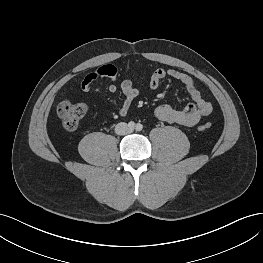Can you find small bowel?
<instances>
[{
  "instance_id": "c3829d8e",
  "label": "small bowel",
  "mask_w": 263,
  "mask_h": 263,
  "mask_svg": "<svg viewBox=\"0 0 263 263\" xmlns=\"http://www.w3.org/2000/svg\"><path fill=\"white\" fill-rule=\"evenodd\" d=\"M116 75L117 71L113 66H103L86 74L82 78L80 83L81 89L84 92L96 93L99 91L97 87H94L97 81L102 78L114 80ZM165 78L175 79L183 85L193 102L181 110L172 108L166 104L160 105L154 112V116L157 119L180 126L191 127L210 115L212 111L210 102L202 96L194 79L188 74L174 69H157L150 78V89H158ZM119 89L124 94V100L119 106L118 114L124 116L128 113L132 102L139 95L140 89L130 79H124L119 86L112 83L107 87V90L112 94L116 93Z\"/></svg>"
}]
</instances>
